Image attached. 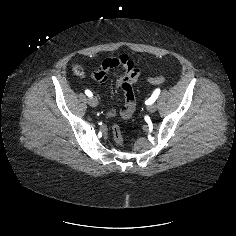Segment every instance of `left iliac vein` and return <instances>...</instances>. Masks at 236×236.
<instances>
[{
    "mask_svg": "<svg viewBox=\"0 0 236 236\" xmlns=\"http://www.w3.org/2000/svg\"><path fill=\"white\" fill-rule=\"evenodd\" d=\"M147 110L150 112V113H153L157 110V105L155 103H152V104H149L147 106Z\"/></svg>",
    "mask_w": 236,
    "mask_h": 236,
    "instance_id": "obj_1",
    "label": "left iliac vein"
}]
</instances>
